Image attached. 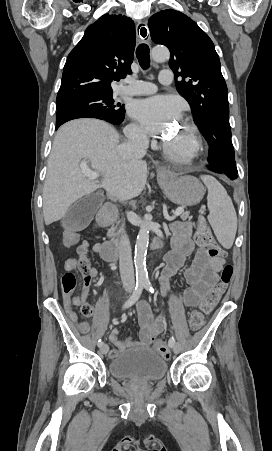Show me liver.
Wrapping results in <instances>:
<instances>
[{"mask_svg":"<svg viewBox=\"0 0 272 451\" xmlns=\"http://www.w3.org/2000/svg\"><path fill=\"white\" fill-rule=\"evenodd\" d=\"M115 128L93 118L72 120L58 130L48 160L43 190L46 226L64 218L74 202L104 188L112 198L131 200L140 196L147 180V164L132 156H120ZM88 160L102 174L101 182L88 180L80 168Z\"/></svg>","mask_w":272,"mask_h":451,"instance_id":"liver-1","label":"liver"}]
</instances>
